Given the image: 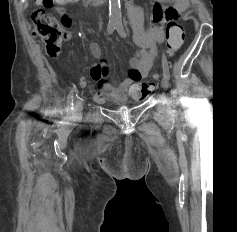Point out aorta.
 Returning a JSON list of instances; mask_svg holds the SVG:
<instances>
[{"instance_id":"762f6f07","label":"aorta","mask_w":237,"mask_h":232,"mask_svg":"<svg viewBox=\"0 0 237 232\" xmlns=\"http://www.w3.org/2000/svg\"><path fill=\"white\" fill-rule=\"evenodd\" d=\"M109 20L119 23L122 20L120 0H109Z\"/></svg>"}]
</instances>
